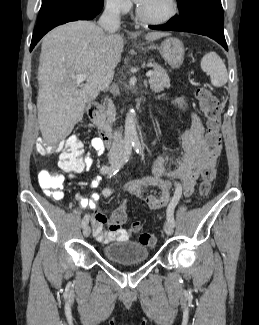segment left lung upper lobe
<instances>
[{
  "mask_svg": "<svg viewBox=\"0 0 259 325\" xmlns=\"http://www.w3.org/2000/svg\"><path fill=\"white\" fill-rule=\"evenodd\" d=\"M186 1L188 0H177L180 9H182L185 6Z\"/></svg>",
  "mask_w": 259,
  "mask_h": 325,
  "instance_id": "1",
  "label": "left lung upper lobe"
}]
</instances>
